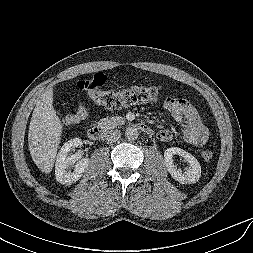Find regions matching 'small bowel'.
<instances>
[{
    "label": "small bowel",
    "instance_id": "obj_1",
    "mask_svg": "<svg viewBox=\"0 0 253 253\" xmlns=\"http://www.w3.org/2000/svg\"><path fill=\"white\" fill-rule=\"evenodd\" d=\"M163 106L182 126L183 137L187 143L195 147H202L206 143L209 134L208 129L203 125L190 100L168 95L164 98ZM156 136L163 142L172 138V134L168 130H160Z\"/></svg>",
    "mask_w": 253,
    "mask_h": 253
}]
</instances>
